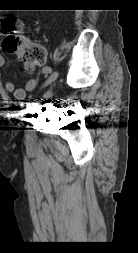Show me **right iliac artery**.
<instances>
[{
	"mask_svg": "<svg viewBox=\"0 0 138 253\" xmlns=\"http://www.w3.org/2000/svg\"><path fill=\"white\" fill-rule=\"evenodd\" d=\"M53 71L52 67H43L42 68V74L43 75H51Z\"/></svg>",
	"mask_w": 138,
	"mask_h": 253,
	"instance_id": "1",
	"label": "right iliac artery"
}]
</instances>
